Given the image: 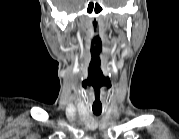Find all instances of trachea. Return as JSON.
<instances>
[{
  "instance_id": "obj_1",
  "label": "trachea",
  "mask_w": 179,
  "mask_h": 139,
  "mask_svg": "<svg viewBox=\"0 0 179 139\" xmlns=\"http://www.w3.org/2000/svg\"><path fill=\"white\" fill-rule=\"evenodd\" d=\"M94 114H95L96 116H99V115L101 114V112L94 111Z\"/></svg>"
}]
</instances>
